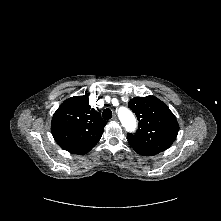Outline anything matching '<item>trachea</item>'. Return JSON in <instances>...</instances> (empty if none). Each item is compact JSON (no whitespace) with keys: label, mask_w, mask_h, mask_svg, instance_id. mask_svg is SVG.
Wrapping results in <instances>:
<instances>
[{"label":"trachea","mask_w":221,"mask_h":221,"mask_svg":"<svg viewBox=\"0 0 221 221\" xmlns=\"http://www.w3.org/2000/svg\"><path fill=\"white\" fill-rule=\"evenodd\" d=\"M102 117H103L105 120H109V119L112 117V111H111V109H109V108L104 109L103 112H102Z\"/></svg>","instance_id":"3493384b"}]
</instances>
